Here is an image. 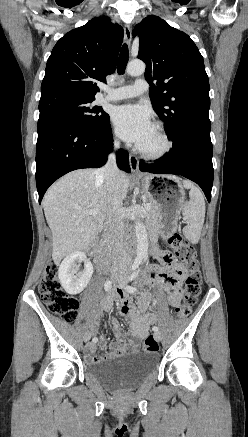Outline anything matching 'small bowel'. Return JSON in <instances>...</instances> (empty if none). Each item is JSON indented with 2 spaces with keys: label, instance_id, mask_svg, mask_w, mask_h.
<instances>
[{
  "label": "small bowel",
  "instance_id": "1",
  "mask_svg": "<svg viewBox=\"0 0 248 437\" xmlns=\"http://www.w3.org/2000/svg\"><path fill=\"white\" fill-rule=\"evenodd\" d=\"M161 263L160 268H150L143 275V282L162 287L167 291L168 303L172 307H178L182 300V284L187 274L186 268L172 260L171 254L168 251L159 250L156 255ZM114 300L120 303L121 311L127 314L131 319V339L125 340L124 332L120 324L113 320L111 329L116 337V342L108 344L105 338H101L98 347L103 351V354L97 353L95 343H89L86 346L85 353L89 362H101L111 359L124 352H135L139 349V341L145 338L149 332V327L156 321L154 313H147V309L151 304L149 294H143L139 297L137 308L130 309L129 299L120 288H114L109 294L103 297L101 301L102 309L109 311Z\"/></svg>",
  "mask_w": 248,
  "mask_h": 437
}]
</instances>
